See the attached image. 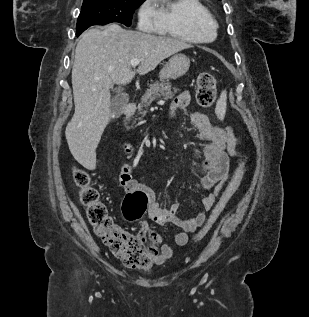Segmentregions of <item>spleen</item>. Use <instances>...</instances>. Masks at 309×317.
I'll return each instance as SVG.
<instances>
[{
	"instance_id": "3e777b00",
	"label": "spleen",
	"mask_w": 309,
	"mask_h": 317,
	"mask_svg": "<svg viewBox=\"0 0 309 317\" xmlns=\"http://www.w3.org/2000/svg\"><path fill=\"white\" fill-rule=\"evenodd\" d=\"M227 106V92L226 90L222 91L220 98L216 103L215 113L220 120H223L226 113Z\"/></svg>"
}]
</instances>
